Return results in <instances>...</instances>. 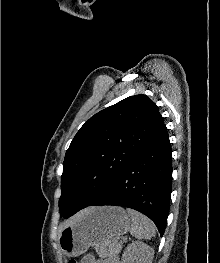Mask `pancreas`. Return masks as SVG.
Instances as JSON below:
<instances>
[{"instance_id":"1","label":"pancreas","mask_w":220,"mask_h":263,"mask_svg":"<svg viewBox=\"0 0 220 263\" xmlns=\"http://www.w3.org/2000/svg\"><path fill=\"white\" fill-rule=\"evenodd\" d=\"M101 257H112L114 254L118 253L119 247L114 241H110L104 245H102L98 249Z\"/></svg>"}]
</instances>
